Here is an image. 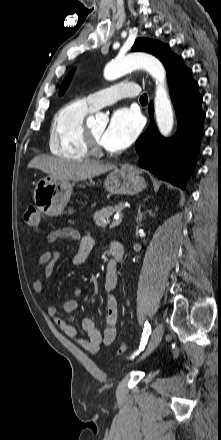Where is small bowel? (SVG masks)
<instances>
[{
    "label": "small bowel",
    "instance_id": "small-bowel-1",
    "mask_svg": "<svg viewBox=\"0 0 221 440\" xmlns=\"http://www.w3.org/2000/svg\"><path fill=\"white\" fill-rule=\"evenodd\" d=\"M66 238L73 239L77 242V251L73 257V263L75 265H83L94 247V239L88 235L82 236L77 229L72 227H63L53 230L47 236L50 243ZM59 256L60 254L56 249H49L40 256L38 264L42 266V277L37 278L33 282V288L36 292L41 293L44 290L45 280L53 274ZM109 264H112V261L107 264L103 284L106 293V316L105 329L103 332L98 329L93 318L85 317L82 320V330L86 338H81L78 335L75 326L66 318L68 315L73 314L78 308V302L75 299L67 300L61 305H52L48 308V314L58 328L67 337L90 353L97 352L101 346L110 345L117 335L118 301L114 292L117 287L118 276L117 271ZM73 293L75 296H80L82 290L76 288Z\"/></svg>",
    "mask_w": 221,
    "mask_h": 440
}]
</instances>
